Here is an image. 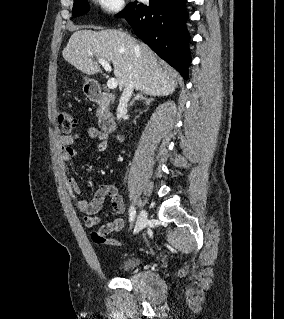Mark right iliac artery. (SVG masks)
Instances as JSON below:
<instances>
[{"label": "right iliac artery", "instance_id": "obj_1", "mask_svg": "<svg viewBox=\"0 0 284 319\" xmlns=\"http://www.w3.org/2000/svg\"><path fill=\"white\" fill-rule=\"evenodd\" d=\"M129 221H133L135 216H136V211H135V208L133 206L130 207L129 209Z\"/></svg>", "mask_w": 284, "mask_h": 319}]
</instances>
